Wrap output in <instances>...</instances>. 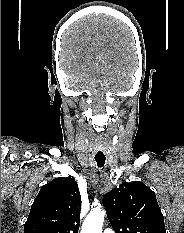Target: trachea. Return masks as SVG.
Instances as JSON below:
<instances>
[{"instance_id":"trachea-1","label":"trachea","mask_w":184,"mask_h":233,"mask_svg":"<svg viewBox=\"0 0 184 233\" xmlns=\"http://www.w3.org/2000/svg\"><path fill=\"white\" fill-rule=\"evenodd\" d=\"M106 156L102 147H98L95 151V161L98 167H102L105 164Z\"/></svg>"}]
</instances>
